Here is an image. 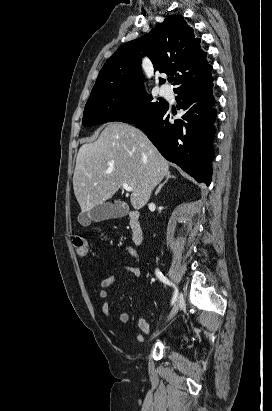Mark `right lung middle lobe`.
<instances>
[{
	"instance_id": "right-lung-middle-lobe-1",
	"label": "right lung middle lobe",
	"mask_w": 272,
	"mask_h": 411,
	"mask_svg": "<svg viewBox=\"0 0 272 411\" xmlns=\"http://www.w3.org/2000/svg\"><path fill=\"white\" fill-rule=\"evenodd\" d=\"M165 102H154L143 86L115 85L92 91L85 105L83 125L90 126L111 121L135 123L159 111Z\"/></svg>"
}]
</instances>
